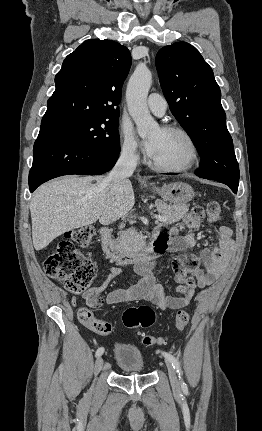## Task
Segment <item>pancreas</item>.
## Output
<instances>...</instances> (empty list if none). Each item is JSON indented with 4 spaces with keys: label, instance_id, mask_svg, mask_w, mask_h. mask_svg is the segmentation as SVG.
<instances>
[{
    "label": "pancreas",
    "instance_id": "pancreas-1",
    "mask_svg": "<svg viewBox=\"0 0 262 431\" xmlns=\"http://www.w3.org/2000/svg\"><path fill=\"white\" fill-rule=\"evenodd\" d=\"M155 206L157 211L166 218L162 223L163 225L178 222L184 217L189 209L188 205H168L161 200H156ZM118 243L126 252L140 251L145 244L143 235L141 233H137L133 229L123 232Z\"/></svg>",
    "mask_w": 262,
    "mask_h": 431
}]
</instances>
